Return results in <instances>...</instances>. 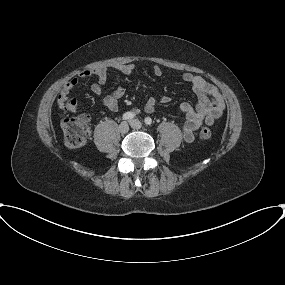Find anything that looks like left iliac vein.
<instances>
[{
	"instance_id": "obj_1",
	"label": "left iliac vein",
	"mask_w": 285,
	"mask_h": 285,
	"mask_svg": "<svg viewBox=\"0 0 285 285\" xmlns=\"http://www.w3.org/2000/svg\"><path fill=\"white\" fill-rule=\"evenodd\" d=\"M130 125L134 129H140L142 127L141 122L138 119H133L130 121Z\"/></svg>"
}]
</instances>
